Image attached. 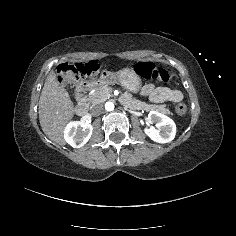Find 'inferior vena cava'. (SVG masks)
Listing matches in <instances>:
<instances>
[{"mask_svg": "<svg viewBox=\"0 0 236 236\" xmlns=\"http://www.w3.org/2000/svg\"><path fill=\"white\" fill-rule=\"evenodd\" d=\"M103 111V105L102 104H95L91 107L90 112L93 116H97L101 114Z\"/></svg>", "mask_w": 236, "mask_h": 236, "instance_id": "602c4592", "label": "inferior vena cava"}]
</instances>
